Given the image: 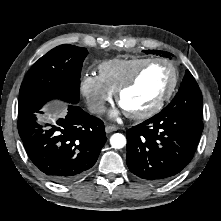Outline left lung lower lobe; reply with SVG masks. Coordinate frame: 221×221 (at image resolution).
<instances>
[{"label":"left lung lower lobe","mask_w":221,"mask_h":221,"mask_svg":"<svg viewBox=\"0 0 221 221\" xmlns=\"http://www.w3.org/2000/svg\"><path fill=\"white\" fill-rule=\"evenodd\" d=\"M202 131V120L165 107L127 130V166L143 180L167 181L190 163Z\"/></svg>","instance_id":"1"}]
</instances>
